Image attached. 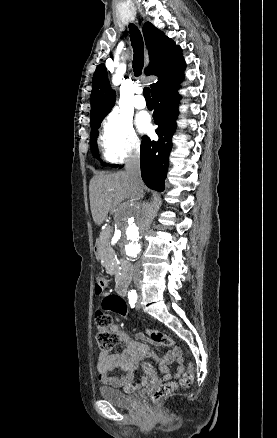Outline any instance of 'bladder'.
Returning a JSON list of instances; mask_svg holds the SVG:
<instances>
[{
    "label": "bladder",
    "instance_id": "31cf9c89",
    "mask_svg": "<svg viewBox=\"0 0 277 438\" xmlns=\"http://www.w3.org/2000/svg\"><path fill=\"white\" fill-rule=\"evenodd\" d=\"M97 395L103 401L108 402L116 407L131 409L134 408L142 400V393L134 392L130 395L124 394L123 391L112 387H103L98 389Z\"/></svg>",
    "mask_w": 277,
    "mask_h": 438
}]
</instances>
